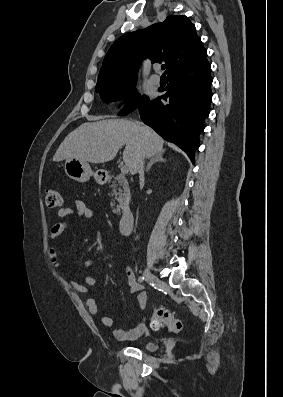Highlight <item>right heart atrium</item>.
I'll return each instance as SVG.
<instances>
[{"label": "right heart atrium", "mask_w": 283, "mask_h": 397, "mask_svg": "<svg viewBox=\"0 0 283 397\" xmlns=\"http://www.w3.org/2000/svg\"><path fill=\"white\" fill-rule=\"evenodd\" d=\"M119 97L124 105H132L136 99L135 89L132 86H126L120 90Z\"/></svg>", "instance_id": "d8ad5b80"}]
</instances>
